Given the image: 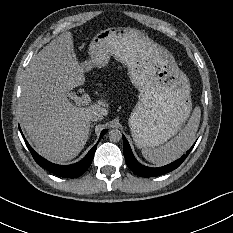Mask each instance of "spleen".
I'll return each mask as SVG.
<instances>
[{
  "instance_id": "spleen-1",
  "label": "spleen",
  "mask_w": 233,
  "mask_h": 233,
  "mask_svg": "<svg viewBox=\"0 0 233 233\" xmlns=\"http://www.w3.org/2000/svg\"><path fill=\"white\" fill-rule=\"evenodd\" d=\"M200 117L201 110L199 107H195L187 125L178 136L158 148L143 149V157L157 166L166 165L178 159L193 144Z\"/></svg>"
}]
</instances>
